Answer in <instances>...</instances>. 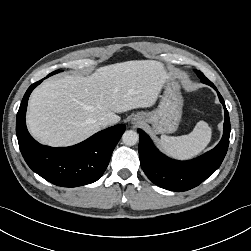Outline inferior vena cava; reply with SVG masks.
Listing matches in <instances>:
<instances>
[{
  "mask_svg": "<svg viewBox=\"0 0 251 251\" xmlns=\"http://www.w3.org/2000/svg\"><path fill=\"white\" fill-rule=\"evenodd\" d=\"M97 123L101 127H107L112 124V121L110 118H108L106 116H102V117L98 118Z\"/></svg>",
  "mask_w": 251,
  "mask_h": 251,
  "instance_id": "inferior-vena-cava-1",
  "label": "inferior vena cava"
}]
</instances>
